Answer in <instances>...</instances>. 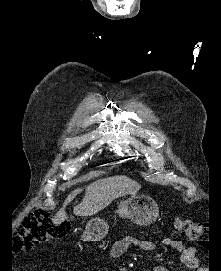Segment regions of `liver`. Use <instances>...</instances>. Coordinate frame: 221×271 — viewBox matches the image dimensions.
<instances>
[{
	"label": "liver",
	"mask_w": 221,
	"mask_h": 271,
	"mask_svg": "<svg viewBox=\"0 0 221 271\" xmlns=\"http://www.w3.org/2000/svg\"><path fill=\"white\" fill-rule=\"evenodd\" d=\"M120 177L116 175V177H110V179H98V181H94L91 185L86 187L85 197H83V201L75 205L74 213L77 215H94V213H98L104 207H107L113 199L125 193V191H114L113 187H118L117 183ZM81 189H75L72 191L70 195H68L67 199H65V203L59 211H57L55 217H53V223H62L64 219H67L66 213L64 211L65 205H67L68 201L73 199L74 195H77Z\"/></svg>",
	"instance_id": "obj_1"
}]
</instances>
